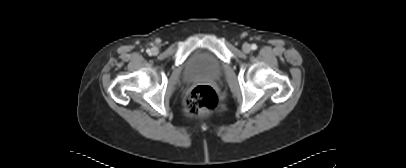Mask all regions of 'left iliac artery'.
<instances>
[{
  "label": "left iliac artery",
  "mask_w": 406,
  "mask_h": 168,
  "mask_svg": "<svg viewBox=\"0 0 406 168\" xmlns=\"http://www.w3.org/2000/svg\"><path fill=\"white\" fill-rule=\"evenodd\" d=\"M251 48H252V50H256V49H257V45H256V44H252Z\"/></svg>",
  "instance_id": "left-iliac-artery-1"
}]
</instances>
